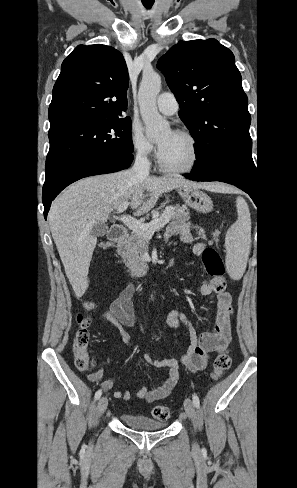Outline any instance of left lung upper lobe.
<instances>
[{
  "label": "left lung upper lobe",
  "instance_id": "1",
  "mask_svg": "<svg viewBox=\"0 0 297 488\" xmlns=\"http://www.w3.org/2000/svg\"><path fill=\"white\" fill-rule=\"evenodd\" d=\"M157 67L196 141L199 157L193 170L235 165L255 175L248 98L231 50L215 39L180 41Z\"/></svg>",
  "mask_w": 297,
  "mask_h": 488
}]
</instances>
